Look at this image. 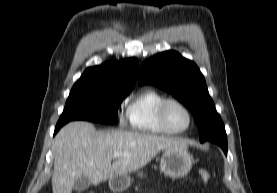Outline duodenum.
Listing matches in <instances>:
<instances>
[{
	"label": "duodenum",
	"instance_id": "1",
	"mask_svg": "<svg viewBox=\"0 0 277 193\" xmlns=\"http://www.w3.org/2000/svg\"><path fill=\"white\" fill-rule=\"evenodd\" d=\"M112 186H113V188L117 189V188L119 187V183L113 182V183H112Z\"/></svg>",
	"mask_w": 277,
	"mask_h": 193
}]
</instances>
